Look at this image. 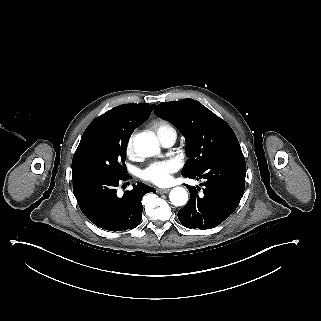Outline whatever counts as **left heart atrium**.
<instances>
[{"label":"left heart atrium","instance_id":"39dd6f15","mask_svg":"<svg viewBox=\"0 0 321 321\" xmlns=\"http://www.w3.org/2000/svg\"><path fill=\"white\" fill-rule=\"evenodd\" d=\"M181 163L176 158H169L151 163L141 172V177L158 185H166L171 179L173 173L178 171Z\"/></svg>","mask_w":321,"mask_h":321}]
</instances>
